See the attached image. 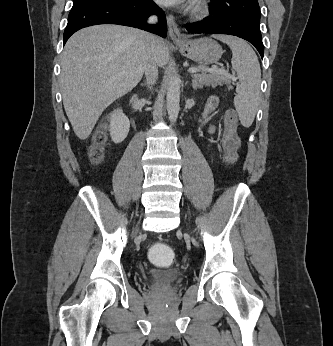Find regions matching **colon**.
<instances>
[{"label": "colon", "instance_id": "colon-1", "mask_svg": "<svg viewBox=\"0 0 333 346\" xmlns=\"http://www.w3.org/2000/svg\"><path fill=\"white\" fill-rule=\"evenodd\" d=\"M225 130L222 135V147L224 151L223 159L228 165H234L238 159L239 137L237 134V116L234 111H229L225 118ZM106 136L102 133L95 137L94 143L90 146L88 154L90 159L98 163L103 158L102 145ZM149 260H153L154 268H169L174 260V253L170 249V244H151Z\"/></svg>", "mask_w": 333, "mask_h": 346}]
</instances>
